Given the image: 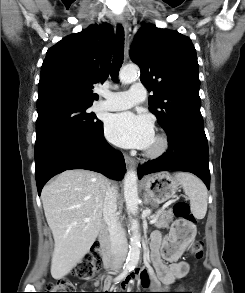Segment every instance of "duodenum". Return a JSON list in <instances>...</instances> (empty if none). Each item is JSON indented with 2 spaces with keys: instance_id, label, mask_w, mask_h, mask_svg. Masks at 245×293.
Returning <instances> with one entry per match:
<instances>
[{
  "instance_id": "obj_1",
  "label": "duodenum",
  "mask_w": 245,
  "mask_h": 293,
  "mask_svg": "<svg viewBox=\"0 0 245 293\" xmlns=\"http://www.w3.org/2000/svg\"><path fill=\"white\" fill-rule=\"evenodd\" d=\"M99 242L101 245L100 254L108 268L112 267V261L109 252V231L107 228H102L99 231Z\"/></svg>"
}]
</instances>
